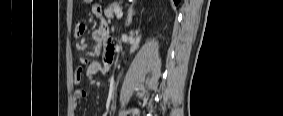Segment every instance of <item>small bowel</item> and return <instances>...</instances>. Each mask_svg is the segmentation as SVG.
I'll use <instances>...</instances> for the list:
<instances>
[{
  "label": "small bowel",
  "instance_id": "small-bowel-1",
  "mask_svg": "<svg viewBox=\"0 0 283 116\" xmlns=\"http://www.w3.org/2000/svg\"><path fill=\"white\" fill-rule=\"evenodd\" d=\"M92 12L98 18L102 17V9L99 5H95L92 8ZM85 32V26L80 25L76 30V36L81 37ZM92 37L96 42H104L106 43V52L104 56V60L100 61H87L84 58L80 59V66L76 68L74 74L75 84H80L84 77H94L96 75L105 74L108 71V59L112 58L115 53V44L109 38V30L107 23L105 21H101L99 27L93 31ZM84 47L83 43L78 45L79 49ZM88 95V92L82 88H76L74 91L75 100L85 99Z\"/></svg>",
  "mask_w": 283,
  "mask_h": 116
}]
</instances>
